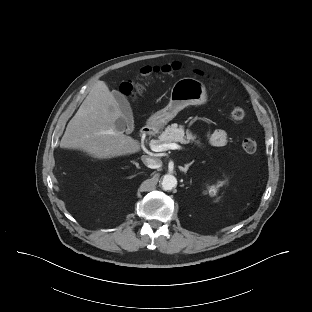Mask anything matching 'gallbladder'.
Here are the masks:
<instances>
[{
	"label": "gallbladder",
	"mask_w": 312,
	"mask_h": 312,
	"mask_svg": "<svg viewBox=\"0 0 312 312\" xmlns=\"http://www.w3.org/2000/svg\"><path fill=\"white\" fill-rule=\"evenodd\" d=\"M114 97L117 101L118 108L124 115V118H119L116 121V126L118 129H125V125L127 124V133H131L134 130V120H133V113L130 106L129 101L127 100L126 96L119 91L113 92Z\"/></svg>",
	"instance_id": "gallbladder-1"
}]
</instances>
